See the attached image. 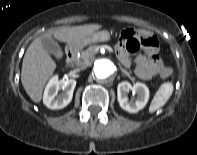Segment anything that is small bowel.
<instances>
[{
  "label": "small bowel",
  "instance_id": "small-bowel-1",
  "mask_svg": "<svg viewBox=\"0 0 197 155\" xmlns=\"http://www.w3.org/2000/svg\"><path fill=\"white\" fill-rule=\"evenodd\" d=\"M135 33L139 35L137 31ZM147 48L148 51L145 55H138L132 59L128 48V41L122 38L116 46V52L126 67L134 66L136 74L141 79L149 80L158 74L162 77L165 66L158 54L157 45H150Z\"/></svg>",
  "mask_w": 197,
  "mask_h": 155
}]
</instances>
